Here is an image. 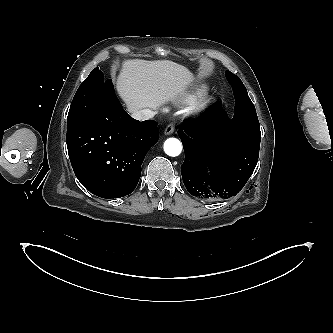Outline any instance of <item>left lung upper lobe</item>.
<instances>
[{
    "mask_svg": "<svg viewBox=\"0 0 333 333\" xmlns=\"http://www.w3.org/2000/svg\"><path fill=\"white\" fill-rule=\"evenodd\" d=\"M225 74H226V77H227L229 83L232 86L235 99L237 101L245 100L251 107H253V104L248 97L247 90H246L245 86L243 85L242 81L240 80V78L228 70L225 72Z\"/></svg>",
    "mask_w": 333,
    "mask_h": 333,
    "instance_id": "left-lung-upper-lobe-1",
    "label": "left lung upper lobe"
}]
</instances>
